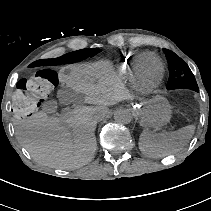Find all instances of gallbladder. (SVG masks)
Listing matches in <instances>:
<instances>
[{
  "instance_id": "obj_1",
  "label": "gallbladder",
  "mask_w": 211,
  "mask_h": 211,
  "mask_svg": "<svg viewBox=\"0 0 211 211\" xmlns=\"http://www.w3.org/2000/svg\"><path fill=\"white\" fill-rule=\"evenodd\" d=\"M57 98L60 104L68 105L73 103L79 106L84 101V96L81 92L73 90L71 87L63 86L57 92Z\"/></svg>"
}]
</instances>
